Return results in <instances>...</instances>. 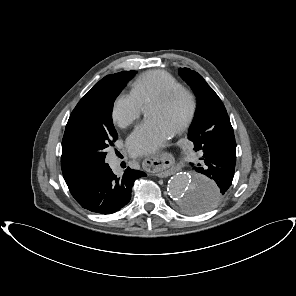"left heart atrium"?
Instances as JSON below:
<instances>
[{
  "instance_id": "1",
  "label": "left heart atrium",
  "mask_w": 296,
  "mask_h": 296,
  "mask_svg": "<svg viewBox=\"0 0 296 296\" xmlns=\"http://www.w3.org/2000/svg\"><path fill=\"white\" fill-rule=\"evenodd\" d=\"M174 130L158 118H149L127 138L129 151L136 156L151 155L165 146Z\"/></svg>"
}]
</instances>
